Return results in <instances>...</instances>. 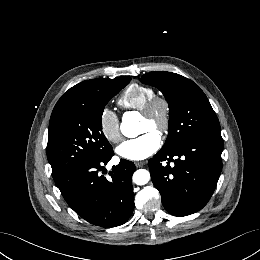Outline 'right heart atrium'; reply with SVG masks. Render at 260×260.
<instances>
[{"label": "right heart atrium", "instance_id": "right-heart-atrium-1", "mask_svg": "<svg viewBox=\"0 0 260 260\" xmlns=\"http://www.w3.org/2000/svg\"><path fill=\"white\" fill-rule=\"evenodd\" d=\"M99 127L102 135L111 143H119L122 139L120 120L110 107H104L99 114Z\"/></svg>", "mask_w": 260, "mask_h": 260}]
</instances>
